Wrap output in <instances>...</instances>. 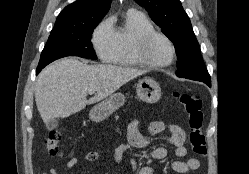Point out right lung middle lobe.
I'll use <instances>...</instances> for the list:
<instances>
[{
	"label": "right lung middle lobe",
	"instance_id": "right-lung-middle-lobe-1",
	"mask_svg": "<svg viewBox=\"0 0 249 174\" xmlns=\"http://www.w3.org/2000/svg\"><path fill=\"white\" fill-rule=\"evenodd\" d=\"M99 22L92 21L71 29L51 31L47 44L41 53L38 67L44 68L54 60L66 56L97 59L91 37Z\"/></svg>",
	"mask_w": 249,
	"mask_h": 174
}]
</instances>
